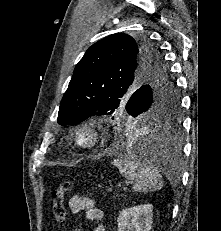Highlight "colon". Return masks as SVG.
<instances>
[{"label":"colon","instance_id":"1","mask_svg":"<svg viewBox=\"0 0 221 231\" xmlns=\"http://www.w3.org/2000/svg\"><path fill=\"white\" fill-rule=\"evenodd\" d=\"M73 189L72 182L62 183L52 195V211L57 222H63L66 218V195Z\"/></svg>","mask_w":221,"mask_h":231}]
</instances>
